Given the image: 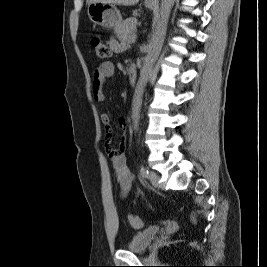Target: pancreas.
Segmentation results:
<instances>
[{
    "mask_svg": "<svg viewBox=\"0 0 267 267\" xmlns=\"http://www.w3.org/2000/svg\"><path fill=\"white\" fill-rule=\"evenodd\" d=\"M137 26V19L134 17L128 18L123 21L118 27H116L115 32L118 39H124L135 34Z\"/></svg>",
    "mask_w": 267,
    "mask_h": 267,
    "instance_id": "obj_1",
    "label": "pancreas"
}]
</instances>
